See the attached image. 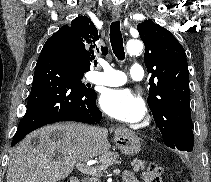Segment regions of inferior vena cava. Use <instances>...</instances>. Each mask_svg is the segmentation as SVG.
I'll return each mask as SVG.
<instances>
[{"mask_svg":"<svg viewBox=\"0 0 211 182\" xmlns=\"http://www.w3.org/2000/svg\"><path fill=\"white\" fill-rule=\"evenodd\" d=\"M92 133L93 134H100L101 133V130L100 129H93L92 130Z\"/></svg>","mask_w":211,"mask_h":182,"instance_id":"602c4592","label":"inferior vena cava"}]
</instances>
